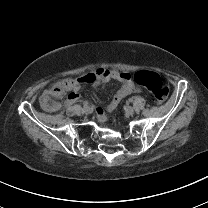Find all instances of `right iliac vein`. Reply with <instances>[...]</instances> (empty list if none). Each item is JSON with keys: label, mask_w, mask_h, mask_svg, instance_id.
Masks as SVG:
<instances>
[{"label": "right iliac vein", "mask_w": 208, "mask_h": 208, "mask_svg": "<svg viewBox=\"0 0 208 208\" xmlns=\"http://www.w3.org/2000/svg\"><path fill=\"white\" fill-rule=\"evenodd\" d=\"M90 111H91V110H90L89 107H86V108L83 109V113H84V114H89Z\"/></svg>", "instance_id": "63e3f726"}]
</instances>
